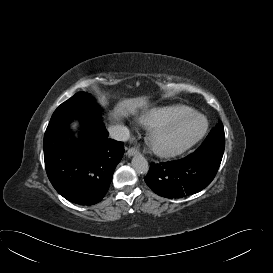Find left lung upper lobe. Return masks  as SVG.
<instances>
[{"instance_id":"1","label":"left lung upper lobe","mask_w":273,"mask_h":273,"mask_svg":"<svg viewBox=\"0 0 273 273\" xmlns=\"http://www.w3.org/2000/svg\"><path fill=\"white\" fill-rule=\"evenodd\" d=\"M225 148V134L222 122L219 123L210 131L204 142L196 150L200 153H206L219 160H222Z\"/></svg>"}]
</instances>
